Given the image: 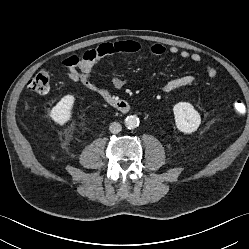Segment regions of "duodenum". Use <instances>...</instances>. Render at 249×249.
Wrapping results in <instances>:
<instances>
[{
    "label": "duodenum",
    "instance_id": "duodenum-1",
    "mask_svg": "<svg viewBox=\"0 0 249 249\" xmlns=\"http://www.w3.org/2000/svg\"><path fill=\"white\" fill-rule=\"evenodd\" d=\"M103 98L108 104L121 113H126L130 110V104L125 99L119 98L111 93H105Z\"/></svg>",
    "mask_w": 249,
    "mask_h": 249
}]
</instances>
